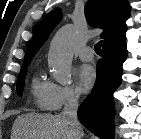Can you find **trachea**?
<instances>
[{
    "mask_svg": "<svg viewBox=\"0 0 141 139\" xmlns=\"http://www.w3.org/2000/svg\"><path fill=\"white\" fill-rule=\"evenodd\" d=\"M101 45H102V41H99L95 46H94V51L97 54H101Z\"/></svg>",
    "mask_w": 141,
    "mask_h": 139,
    "instance_id": "1",
    "label": "trachea"
}]
</instances>
